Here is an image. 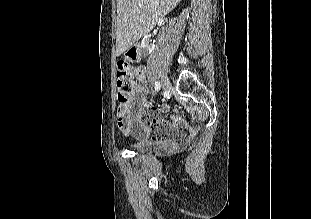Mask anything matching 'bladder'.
<instances>
[{"label": "bladder", "instance_id": "obj_1", "mask_svg": "<svg viewBox=\"0 0 311 219\" xmlns=\"http://www.w3.org/2000/svg\"><path fill=\"white\" fill-rule=\"evenodd\" d=\"M152 148L151 142H137L133 144V149L140 152L149 151Z\"/></svg>", "mask_w": 311, "mask_h": 219}]
</instances>
